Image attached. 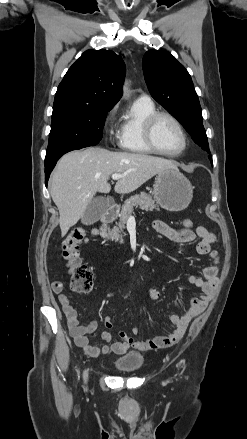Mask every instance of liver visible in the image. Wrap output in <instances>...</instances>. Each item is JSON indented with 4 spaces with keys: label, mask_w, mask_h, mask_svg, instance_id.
Masks as SVG:
<instances>
[{
    "label": "liver",
    "mask_w": 247,
    "mask_h": 439,
    "mask_svg": "<svg viewBox=\"0 0 247 439\" xmlns=\"http://www.w3.org/2000/svg\"><path fill=\"white\" fill-rule=\"evenodd\" d=\"M177 168L173 161L160 157L111 152L87 148L65 154L57 163L50 181V194L59 210L61 235L65 236L84 215L97 192L109 193L112 174H121L115 185L117 193H130L154 175Z\"/></svg>",
    "instance_id": "liver-1"
}]
</instances>
